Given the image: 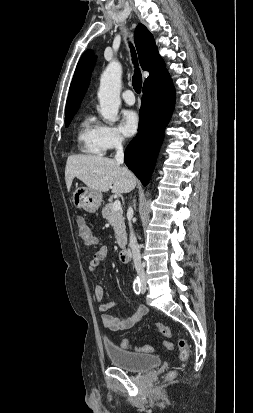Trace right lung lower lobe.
Segmentation results:
<instances>
[{"label": "right lung lower lobe", "instance_id": "1", "mask_svg": "<svg viewBox=\"0 0 253 413\" xmlns=\"http://www.w3.org/2000/svg\"><path fill=\"white\" fill-rule=\"evenodd\" d=\"M174 96L167 72L143 86L138 133L125 150L124 162L144 186L153 172Z\"/></svg>", "mask_w": 253, "mask_h": 413}]
</instances>
